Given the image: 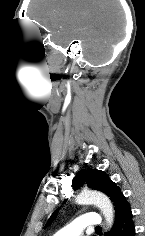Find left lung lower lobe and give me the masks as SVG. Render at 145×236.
<instances>
[{
    "mask_svg": "<svg viewBox=\"0 0 145 236\" xmlns=\"http://www.w3.org/2000/svg\"><path fill=\"white\" fill-rule=\"evenodd\" d=\"M106 236H135V225L130 207L116 215L112 230Z\"/></svg>",
    "mask_w": 145,
    "mask_h": 236,
    "instance_id": "obj_1",
    "label": "left lung lower lobe"
}]
</instances>
